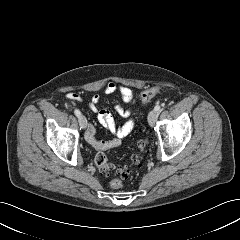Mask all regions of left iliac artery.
<instances>
[{
  "instance_id": "left-iliac-artery-1",
  "label": "left iliac artery",
  "mask_w": 240,
  "mask_h": 240,
  "mask_svg": "<svg viewBox=\"0 0 240 240\" xmlns=\"http://www.w3.org/2000/svg\"><path fill=\"white\" fill-rule=\"evenodd\" d=\"M154 110L159 113L161 110V106L160 105L155 106Z\"/></svg>"
}]
</instances>
